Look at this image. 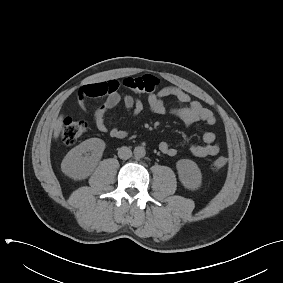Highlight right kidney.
<instances>
[{"label":"right kidney","mask_w":283,"mask_h":283,"mask_svg":"<svg viewBox=\"0 0 283 283\" xmlns=\"http://www.w3.org/2000/svg\"><path fill=\"white\" fill-rule=\"evenodd\" d=\"M105 142L90 138L71 149L61 163L62 172L74 180L87 178L100 161Z\"/></svg>","instance_id":"1"}]
</instances>
